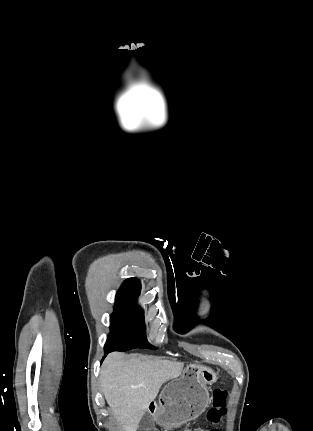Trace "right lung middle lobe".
Returning a JSON list of instances; mask_svg holds the SVG:
<instances>
[{
  "instance_id": "dd1d6c3e",
  "label": "right lung middle lobe",
  "mask_w": 313,
  "mask_h": 431,
  "mask_svg": "<svg viewBox=\"0 0 313 431\" xmlns=\"http://www.w3.org/2000/svg\"><path fill=\"white\" fill-rule=\"evenodd\" d=\"M135 348L155 349L146 338L143 310L134 302L116 300L104 350L123 352Z\"/></svg>"
}]
</instances>
